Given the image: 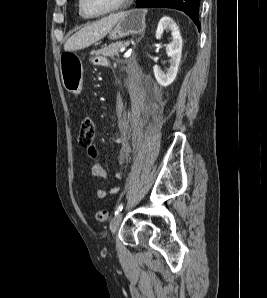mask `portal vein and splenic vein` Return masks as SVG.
Returning a JSON list of instances; mask_svg holds the SVG:
<instances>
[{
    "label": "portal vein and splenic vein",
    "instance_id": "obj_1",
    "mask_svg": "<svg viewBox=\"0 0 267 298\" xmlns=\"http://www.w3.org/2000/svg\"><path fill=\"white\" fill-rule=\"evenodd\" d=\"M125 50H126V47L123 46V47L120 49V53H123Z\"/></svg>",
    "mask_w": 267,
    "mask_h": 298
}]
</instances>
